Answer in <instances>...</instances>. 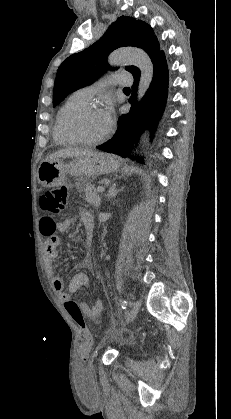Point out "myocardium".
Segmentation results:
<instances>
[{"label": "myocardium", "mask_w": 231, "mask_h": 419, "mask_svg": "<svg viewBox=\"0 0 231 419\" xmlns=\"http://www.w3.org/2000/svg\"><path fill=\"white\" fill-rule=\"evenodd\" d=\"M98 109V105L95 103L88 102L86 104L77 106L70 110L63 118L62 121V130L65 136H67L70 140H72L75 143L83 144V145H97L104 140H106L110 133L111 129L108 128V130L100 137L94 138V139H87L76 133L72 129V122L73 120L78 117L80 114L90 111V110H96Z\"/></svg>", "instance_id": "f54148a6"}]
</instances>
